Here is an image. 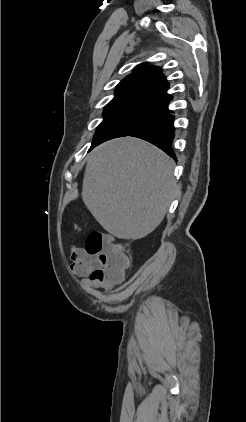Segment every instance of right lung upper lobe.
Here are the masks:
<instances>
[{
	"instance_id": "1",
	"label": "right lung upper lobe",
	"mask_w": 246,
	"mask_h": 422,
	"mask_svg": "<svg viewBox=\"0 0 246 422\" xmlns=\"http://www.w3.org/2000/svg\"><path fill=\"white\" fill-rule=\"evenodd\" d=\"M136 66L116 87L114 98L106 107L147 108L163 110L173 99L167 93L169 83L162 70L156 66Z\"/></svg>"
}]
</instances>
